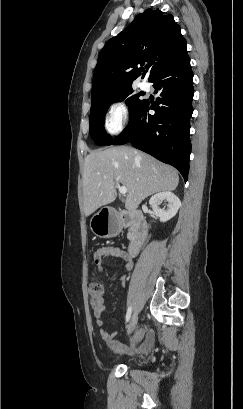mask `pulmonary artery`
Masks as SVG:
<instances>
[{"instance_id": "e3ab8cb5", "label": "pulmonary artery", "mask_w": 243, "mask_h": 409, "mask_svg": "<svg viewBox=\"0 0 243 409\" xmlns=\"http://www.w3.org/2000/svg\"><path fill=\"white\" fill-rule=\"evenodd\" d=\"M139 87H140L142 90H147V89L149 88V84H148L146 81H141V82L139 83Z\"/></svg>"}]
</instances>
